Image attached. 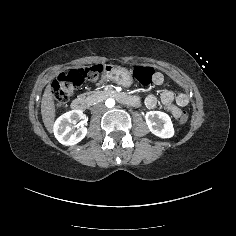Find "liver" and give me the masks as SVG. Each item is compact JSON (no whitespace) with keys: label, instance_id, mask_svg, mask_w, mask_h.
Segmentation results:
<instances>
[{"label":"liver","instance_id":"6515ba94","mask_svg":"<svg viewBox=\"0 0 236 236\" xmlns=\"http://www.w3.org/2000/svg\"><path fill=\"white\" fill-rule=\"evenodd\" d=\"M41 116L43 124L48 131L52 134L54 132V122L56 117V106L53 98L52 87L49 83L44 91L41 101Z\"/></svg>","mask_w":236,"mask_h":236}]
</instances>
